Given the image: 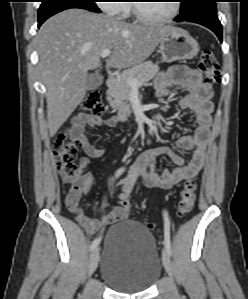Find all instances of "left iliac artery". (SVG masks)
<instances>
[{"mask_svg":"<svg viewBox=\"0 0 248 299\" xmlns=\"http://www.w3.org/2000/svg\"><path fill=\"white\" fill-rule=\"evenodd\" d=\"M163 216L165 221L164 243L167 252L169 253V255H171L172 249H171V242H170V225H169L168 214L166 211L163 212Z\"/></svg>","mask_w":248,"mask_h":299,"instance_id":"1","label":"left iliac artery"}]
</instances>
